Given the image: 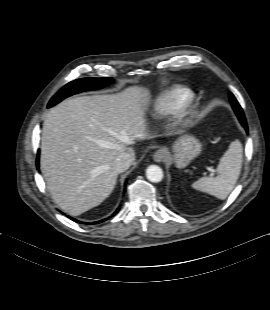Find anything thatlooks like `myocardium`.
<instances>
[{
    "label": "myocardium",
    "instance_id": "obj_1",
    "mask_svg": "<svg viewBox=\"0 0 270 310\" xmlns=\"http://www.w3.org/2000/svg\"><path fill=\"white\" fill-rule=\"evenodd\" d=\"M198 103L191 99L185 105H183L175 114L174 127L176 129H184L193 123V120L197 114Z\"/></svg>",
    "mask_w": 270,
    "mask_h": 310
}]
</instances>
